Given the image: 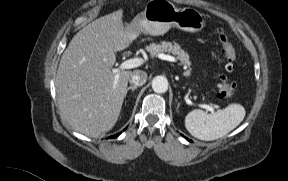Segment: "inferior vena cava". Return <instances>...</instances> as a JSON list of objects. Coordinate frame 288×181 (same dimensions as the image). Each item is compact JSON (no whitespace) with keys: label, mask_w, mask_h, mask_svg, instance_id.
I'll list each match as a JSON object with an SVG mask.
<instances>
[{"label":"inferior vena cava","mask_w":288,"mask_h":181,"mask_svg":"<svg viewBox=\"0 0 288 181\" xmlns=\"http://www.w3.org/2000/svg\"><path fill=\"white\" fill-rule=\"evenodd\" d=\"M146 80H147V73L146 72H144L142 70H135V71H133L129 81L134 86H142L145 84Z\"/></svg>","instance_id":"obj_1"}]
</instances>
